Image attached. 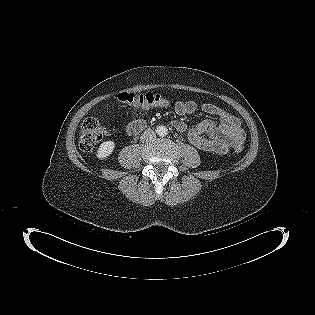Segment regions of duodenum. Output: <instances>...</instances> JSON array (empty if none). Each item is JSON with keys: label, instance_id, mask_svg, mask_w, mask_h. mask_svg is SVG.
<instances>
[{"label": "duodenum", "instance_id": "obj_1", "mask_svg": "<svg viewBox=\"0 0 315 315\" xmlns=\"http://www.w3.org/2000/svg\"><path fill=\"white\" fill-rule=\"evenodd\" d=\"M144 128V123L142 121H135L129 124L127 131L129 134H135Z\"/></svg>", "mask_w": 315, "mask_h": 315}]
</instances>
